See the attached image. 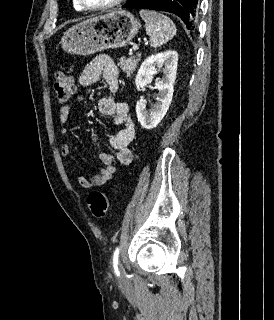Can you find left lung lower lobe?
Masks as SVG:
<instances>
[{
    "instance_id": "left-lung-lower-lobe-1",
    "label": "left lung lower lobe",
    "mask_w": 274,
    "mask_h": 320,
    "mask_svg": "<svg viewBox=\"0 0 274 320\" xmlns=\"http://www.w3.org/2000/svg\"><path fill=\"white\" fill-rule=\"evenodd\" d=\"M123 8H140L172 12L178 15L187 28H194L198 0H129Z\"/></svg>"
}]
</instances>
